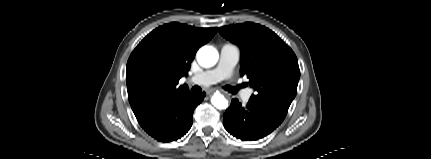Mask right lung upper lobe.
Returning a JSON list of instances; mask_svg holds the SVG:
<instances>
[{"label":"right lung upper lobe","mask_w":431,"mask_h":159,"mask_svg":"<svg viewBox=\"0 0 431 159\" xmlns=\"http://www.w3.org/2000/svg\"><path fill=\"white\" fill-rule=\"evenodd\" d=\"M216 32L217 28L173 22L156 28L138 44L126 70L128 98L138 122L189 91L178 82L187 75L197 50Z\"/></svg>","instance_id":"cb5924a9"}]
</instances>
